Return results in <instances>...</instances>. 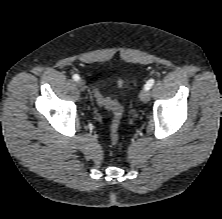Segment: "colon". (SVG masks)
<instances>
[{
  "instance_id": "obj_1",
  "label": "colon",
  "mask_w": 222,
  "mask_h": 219,
  "mask_svg": "<svg viewBox=\"0 0 222 219\" xmlns=\"http://www.w3.org/2000/svg\"><path fill=\"white\" fill-rule=\"evenodd\" d=\"M125 83L123 81H119L118 85L123 86ZM96 98L98 103L111 111L113 113V119L110 127V137L113 143H116L119 138V126L121 121L122 109L120 104L112 99H108L100 95L96 94Z\"/></svg>"
}]
</instances>
